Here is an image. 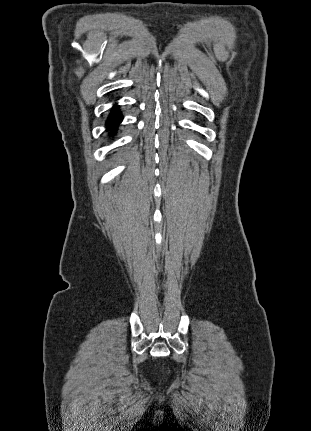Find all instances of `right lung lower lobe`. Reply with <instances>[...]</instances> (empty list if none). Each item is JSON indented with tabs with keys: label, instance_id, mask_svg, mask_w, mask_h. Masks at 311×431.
<instances>
[{
	"label": "right lung lower lobe",
	"instance_id": "1",
	"mask_svg": "<svg viewBox=\"0 0 311 431\" xmlns=\"http://www.w3.org/2000/svg\"><path fill=\"white\" fill-rule=\"evenodd\" d=\"M121 120H122V117L120 116L118 107L117 106L113 107L112 112L106 123L111 132L117 129V126L119 122H121Z\"/></svg>",
	"mask_w": 311,
	"mask_h": 431
}]
</instances>
